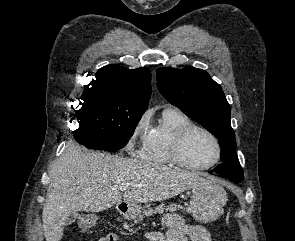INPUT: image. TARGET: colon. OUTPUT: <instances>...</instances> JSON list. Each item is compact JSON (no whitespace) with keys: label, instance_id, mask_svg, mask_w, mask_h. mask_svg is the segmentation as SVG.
I'll list each match as a JSON object with an SVG mask.
<instances>
[{"label":"colon","instance_id":"1","mask_svg":"<svg viewBox=\"0 0 295 241\" xmlns=\"http://www.w3.org/2000/svg\"><path fill=\"white\" fill-rule=\"evenodd\" d=\"M86 224H87L88 227H91V226H93L95 224V221H94V219L92 217H89V218L86 219Z\"/></svg>","mask_w":295,"mask_h":241}]
</instances>
